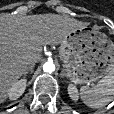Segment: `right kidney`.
I'll return each mask as SVG.
<instances>
[{
	"mask_svg": "<svg viewBox=\"0 0 114 114\" xmlns=\"http://www.w3.org/2000/svg\"><path fill=\"white\" fill-rule=\"evenodd\" d=\"M26 89V79H21L15 82L9 89L8 97L10 100H15L19 98Z\"/></svg>",
	"mask_w": 114,
	"mask_h": 114,
	"instance_id": "1",
	"label": "right kidney"
}]
</instances>
